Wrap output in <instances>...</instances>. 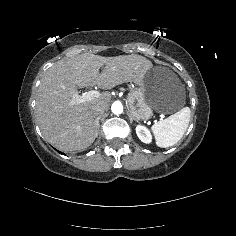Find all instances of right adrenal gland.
Here are the masks:
<instances>
[{
	"label": "right adrenal gland",
	"instance_id": "right-adrenal-gland-1",
	"mask_svg": "<svg viewBox=\"0 0 236 236\" xmlns=\"http://www.w3.org/2000/svg\"><path fill=\"white\" fill-rule=\"evenodd\" d=\"M99 120H101V117L99 118ZM99 120H98V122H96L97 123L96 136L98 135L99 129H100V122H99Z\"/></svg>",
	"mask_w": 236,
	"mask_h": 236
}]
</instances>
